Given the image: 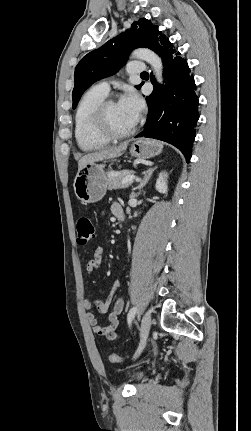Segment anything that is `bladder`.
<instances>
[{
    "instance_id": "1",
    "label": "bladder",
    "mask_w": 251,
    "mask_h": 431,
    "mask_svg": "<svg viewBox=\"0 0 251 431\" xmlns=\"http://www.w3.org/2000/svg\"><path fill=\"white\" fill-rule=\"evenodd\" d=\"M143 376H144V374H143V373H137V374L134 376V378H135L136 380H141V379L143 378Z\"/></svg>"
}]
</instances>
